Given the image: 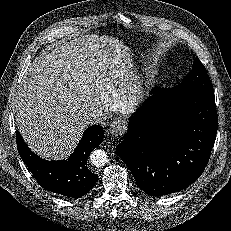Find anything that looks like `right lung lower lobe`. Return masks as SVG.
Wrapping results in <instances>:
<instances>
[{
    "label": "right lung lower lobe",
    "mask_w": 231,
    "mask_h": 231,
    "mask_svg": "<svg viewBox=\"0 0 231 231\" xmlns=\"http://www.w3.org/2000/svg\"><path fill=\"white\" fill-rule=\"evenodd\" d=\"M104 133L100 125L86 129L75 152L68 160L46 161L34 154L16 134L17 148L37 182L45 189L60 195L80 198L92 189L98 175L87 167V158L103 141Z\"/></svg>",
    "instance_id": "right-lung-lower-lobe-1"
}]
</instances>
